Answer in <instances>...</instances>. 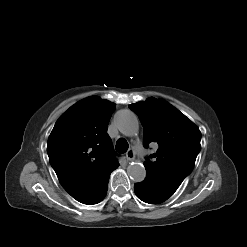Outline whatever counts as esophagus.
Listing matches in <instances>:
<instances>
[{"label": "esophagus", "mask_w": 247, "mask_h": 247, "mask_svg": "<svg viewBox=\"0 0 247 247\" xmlns=\"http://www.w3.org/2000/svg\"><path fill=\"white\" fill-rule=\"evenodd\" d=\"M126 158L128 161L134 160L135 159V152L132 149L128 150L126 153Z\"/></svg>", "instance_id": "1"}]
</instances>
